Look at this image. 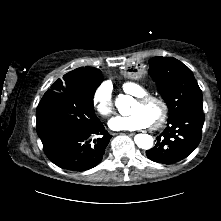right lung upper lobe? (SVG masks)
Listing matches in <instances>:
<instances>
[{
	"label": "right lung upper lobe",
	"mask_w": 221,
	"mask_h": 221,
	"mask_svg": "<svg viewBox=\"0 0 221 221\" xmlns=\"http://www.w3.org/2000/svg\"><path fill=\"white\" fill-rule=\"evenodd\" d=\"M101 74V72L93 67H85V68H78L75 69L66 75H64L63 80L58 79L55 84H62L63 87L70 86L74 83H79L83 80L88 79L89 77H94L98 74Z\"/></svg>",
	"instance_id": "1"
}]
</instances>
